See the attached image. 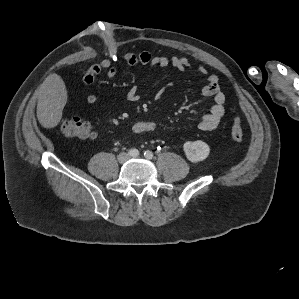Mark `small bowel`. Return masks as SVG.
Here are the masks:
<instances>
[{"mask_svg": "<svg viewBox=\"0 0 299 299\" xmlns=\"http://www.w3.org/2000/svg\"><path fill=\"white\" fill-rule=\"evenodd\" d=\"M123 60L130 66L142 65L147 70L155 67L172 66L181 71L192 68L190 61L186 57H169L164 55H153L149 51L143 50L139 53H125ZM195 71L201 75H207V83L202 87L201 92L204 96L210 97L213 100V105L210 110L204 114L198 124L202 131L214 130L220 123L225 114V94L221 91L218 77L214 74H208L204 66H196ZM105 72L109 79H113L117 75V68L114 66V59L104 58L100 62L90 66L83 75L85 84H92L96 78ZM130 101H137L140 98L138 84H133L127 94ZM86 101L89 104H94L97 101L95 94H88ZM156 122L152 120H140L136 122L132 130L136 134H143L153 131L156 128Z\"/></svg>", "mask_w": 299, "mask_h": 299, "instance_id": "c3829d8e", "label": "small bowel"}]
</instances>
